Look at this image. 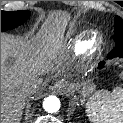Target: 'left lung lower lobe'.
I'll return each mask as SVG.
<instances>
[{"instance_id": "0a47b994", "label": "left lung lower lobe", "mask_w": 123, "mask_h": 123, "mask_svg": "<svg viewBox=\"0 0 123 123\" xmlns=\"http://www.w3.org/2000/svg\"><path fill=\"white\" fill-rule=\"evenodd\" d=\"M109 59H111V58H109ZM104 64H105L104 61L100 62V63H99V69H101V68L104 66Z\"/></svg>"}]
</instances>
